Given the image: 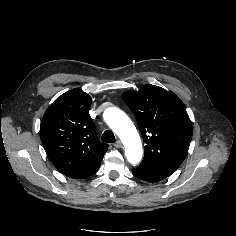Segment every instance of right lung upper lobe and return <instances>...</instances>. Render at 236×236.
I'll use <instances>...</instances> for the list:
<instances>
[{
  "instance_id": "right-lung-upper-lobe-1",
  "label": "right lung upper lobe",
  "mask_w": 236,
  "mask_h": 236,
  "mask_svg": "<svg viewBox=\"0 0 236 236\" xmlns=\"http://www.w3.org/2000/svg\"><path fill=\"white\" fill-rule=\"evenodd\" d=\"M91 98L72 89L46 110L40 125L43 147L53 165L67 177L87 178L97 172L108 145L98 140L88 110Z\"/></svg>"
}]
</instances>
